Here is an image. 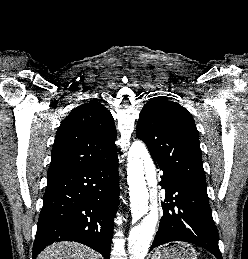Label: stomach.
Instances as JSON below:
<instances>
[{
    "instance_id": "stomach-1",
    "label": "stomach",
    "mask_w": 248,
    "mask_h": 259,
    "mask_svg": "<svg viewBox=\"0 0 248 259\" xmlns=\"http://www.w3.org/2000/svg\"><path fill=\"white\" fill-rule=\"evenodd\" d=\"M152 259H197V253L188 243L174 242L159 247Z\"/></svg>"
}]
</instances>
